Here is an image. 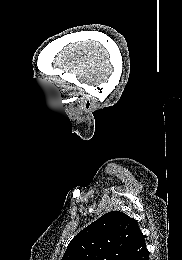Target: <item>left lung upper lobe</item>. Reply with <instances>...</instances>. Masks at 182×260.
<instances>
[{"mask_svg": "<svg viewBox=\"0 0 182 260\" xmlns=\"http://www.w3.org/2000/svg\"><path fill=\"white\" fill-rule=\"evenodd\" d=\"M139 233L135 219L108 212L70 241L61 260H122Z\"/></svg>", "mask_w": 182, "mask_h": 260, "instance_id": "obj_1", "label": "left lung upper lobe"}]
</instances>
